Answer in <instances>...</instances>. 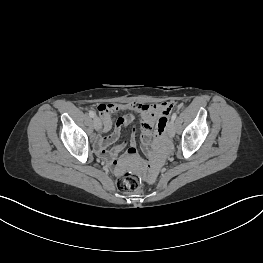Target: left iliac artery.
Segmentation results:
<instances>
[{
    "label": "left iliac artery",
    "mask_w": 263,
    "mask_h": 263,
    "mask_svg": "<svg viewBox=\"0 0 263 263\" xmlns=\"http://www.w3.org/2000/svg\"><path fill=\"white\" fill-rule=\"evenodd\" d=\"M176 117H177V113L175 112V113L172 114L171 120L174 122Z\"/></svg>",
    "instance_id": "44dca946"
}]
</instances>
